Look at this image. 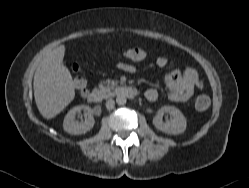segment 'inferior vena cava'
Here are the masks:
<instances>
[{
  "label": "inferior vena cava",
  "instance_id": "602c4592",
  "mask_svg": "<svg viewBox=\"0 0 249 188\" xmlns=\"http://www.w3.org/2000/svg\"><path fill=\"white\" fill-rule=\"evenodd\" d=\"M114 106H115V101H114V100L108 99V100L106 101V108H107L108 110H112V109L114 108Z\"/></svg>",
  "mask_w": 249,
  "mask_h": 188
}]
</instances>
